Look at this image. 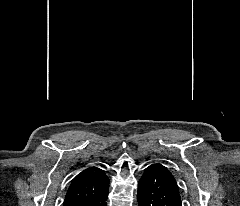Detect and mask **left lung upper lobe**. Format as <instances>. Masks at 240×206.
I'll list each match as a JSON object with an SVG mask.
<instances>
[{
	"label": "left lung upper lobe",
	"instance_id": "1",
	"mask_svg": "<svg viewBox=\"0 0 240 206\" xmlns=\"http://www.w3.org/2000/svg\"><path fill=\"white\" fill-rule=\"evenodd\" d=\"M170 173H171V172H170ZM171 175H172V173H171ZM172 178H173V180H174V183H175L176 188L179 190V187H178L177 182H176V180H175V178H174L173 175H172Z\"/></svg>",
	"mask_w": 240,
	"mask_h": 206
}]
</instances>
